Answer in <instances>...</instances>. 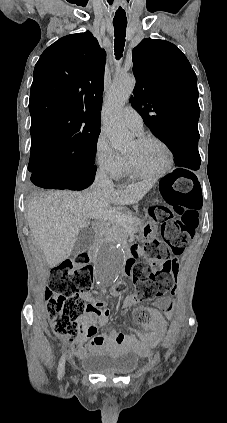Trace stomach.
<instances>
[{
    "instance_id": "1",
    "label": "stomach",
    "mask_w": 227,
    "mask_h": 423,
    "mask_svg": "<svg viewBox=\"0 0 227 423\" xmlns=\"http://www.w3.org/2000/svg\"><path fill=\"white\" fill-rule=\"evenodd\" d=\"M147 204H150L149 200H147Z\"/></svg>"
}]
</instances>
